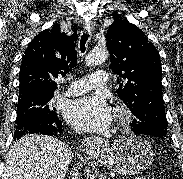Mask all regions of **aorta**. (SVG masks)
I'll return each mask as SVG.
<instances>
[{
	"label": "aorta",
	"instance_id": "762f6f07",
	"mask_svg": "<svg viewBox=\"0 0 183 179\" xmlns=\"http://www.w3.org/2000/svg\"><path fill=\"white\" fill-rule=\"evenodd\" d=\"M109 57L107 49H94L88 53L85 58V62L88 66H96L103 63Z\"/></svg>",
	"mask_w": 183,
	"mask_h": 179
}]
</instances>
